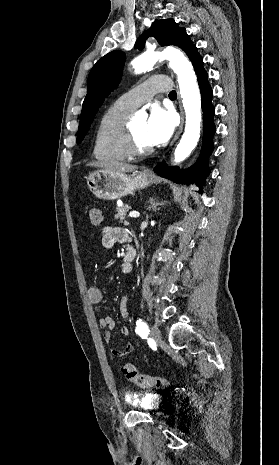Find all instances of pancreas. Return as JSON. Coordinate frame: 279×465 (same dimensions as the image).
<instances>
[{
    "label": "pancreas",
    "mask_w": 279,
    "mask_h": 465,
    "mask_svg": "<svg viewBox=\"0 0 279 465\" xmlns=\"http://www.w3.org/2000/svg\"><path fill=\"white\" fill-rule=\"evenodd\" d=\"M128 209H129V206H128V205L118 206V207L116 208V212H117V213L115 214L114 218H115L116 220L119 219V220H120V221H119L120 223H124V224L127 225L128 222L125 220V218H126V214H127V212H128Z\"/></svg>",
    "instance_id": "cf45deb5"
}]
</instances>
